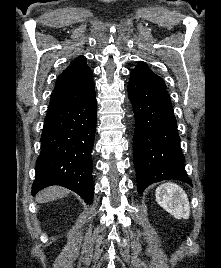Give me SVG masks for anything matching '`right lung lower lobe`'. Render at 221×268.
<instances>
[{
  "mask_svg": "<svg viewBox=\"0 0 221 268\" xmlns=\"http://www.w3.org/2000/svg\"><path fill=\"white\" fill-rule=\"evenodd\" d=\"M96 118L95 90L81 100L48 108L32 195L47 186L61 185L91 204Z\"/></svg>",
  "mask_w": 221,
  "mask_h": 268,
  "instance_id": "1",
  "label": "right lung lower lobe"
}]
</instances>
